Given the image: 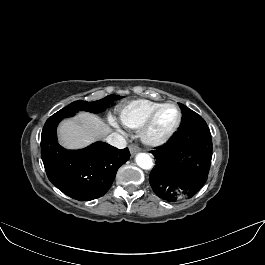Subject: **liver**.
Here are the masks:
<instances>
[{
    "instance_id": "1",
    "label": "liver",
    "mask_w": 265,
    "mask_h": 265,
    "mask_svg": "<svg viewBox=\"0 0 265 265\" xmlns=\"http://www.w3.org/2000/svg\"><path fill=\"white\" fill-rule=\"evenodd\" d=\"M110 132L111 128L99 117L87 112L79 113L75 120H63L58 127L59 141L67 149L84 148Z\"/></svg>"
}]
</instances>
